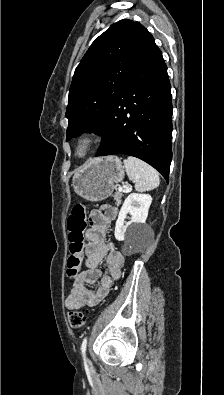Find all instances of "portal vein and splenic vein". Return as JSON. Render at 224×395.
I'll use <instances>...</instances> for the list:
<instances>
[{"instance_id":"portal-vein-and-splenic-vein-1","label":"portal vein and splenic vein","mask_w":224,"mask_h":395,"mask_svg":"<svg viewBox=\"0 0 224 395\" xmlns=\"http://www.w3.org/2000/svg\"><path fill=\"white\" fill-rule=\"evenodd\" d=\"M118 190H119V192H125V191L131 190V188L120 187Z\"/></svg>"}]
</instances>
